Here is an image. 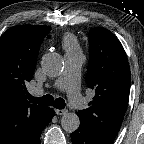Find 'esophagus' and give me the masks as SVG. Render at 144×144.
I'll use <instances>...</instances> for the list:
<instances>
[{
	"instance_id": "esophagus-1",
	"label": "esophagus",
	"mask_w": 144,
	"mask_h": 144,
	"mask_svg": "<svg viewBox=\"0 0 144 144\" xmlns=\"http://www.w3.org/2000/svg\"><path fill=\"white\" fill-rule=\"evenodd\" d=\"M55 112L57 115H65L68 111L66 109H56Z\"/></svg>"
}]
</instances>
